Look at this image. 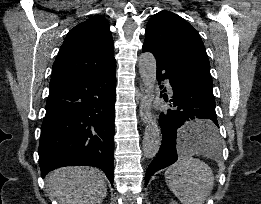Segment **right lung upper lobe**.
I'll return each instance as SVG.
<instances>
[{
    "instance_id": "obj_1",
    "label": "right lung upper lobe",
    "mask_w": 261,
    "mask_h": 204,
    "mask_svg": "<svg viewBox=\"0 0 261 204\" xmlns=\"http://www.w3.org/2000/svg\"><path fill=\"white\" fill-rule=\"evenodd\" d=\"M107 20L91 17L67 34L52 67L50 86L99 74L116 64Z\"/></svg>"
}]
</instances>
